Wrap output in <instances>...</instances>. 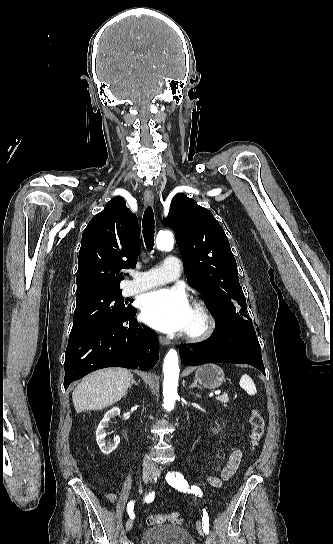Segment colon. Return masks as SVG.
I'll return each instance as SVG.
<instances>
[{"label":"colon","instance_id":"5ec220e1","mask_svg":"<svg viewBox=\"0 0 333 544\" xmlns=\"http://www.w3.org/2000/svg\"><path fill=\"white\" fill-rule=\"evenodd\" d=\"M249 421L251 425V430H250L251 444L255 448L259 445L263 437L265 422L262 415L257 410H252ZM146 523L148 525H157V524H164V523H170L173 525H181L182 519L179 516V514L176 512L166 513V514H152L147 517Z\"/></svg>","mask_w":333,"mask_h":544}]
</instances>
